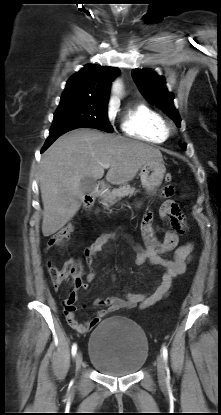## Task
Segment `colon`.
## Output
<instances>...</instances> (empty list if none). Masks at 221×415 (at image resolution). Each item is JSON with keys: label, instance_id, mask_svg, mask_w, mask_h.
Returning a JSON list of instances; mask_svg holds the SVG:
<instances>
[{"label": "colon", "instance_id": "colon-1", "mask_svg": "<svg viewBox=\"0 0 221 415\" xmlns=\"http://www.w3.org/2000/svg\"><path fill=\"white\" fill-rule=\"evenodd\" d=\"M165 181L167 183L172 181V175L170 173H167L165 175ZM72 231L73 227L71 225H67L58 230L49 239L48 248L51 249L61 245L70 237ZM48 272L51 278L52 285L55 289H58L69 278H72L73 280V287L82 283V269L79 262L75 259L67 260L62 267H56L49 262Z\"/></svg>", "mask_w": 221, "mask_h": 415}]
</instances>
